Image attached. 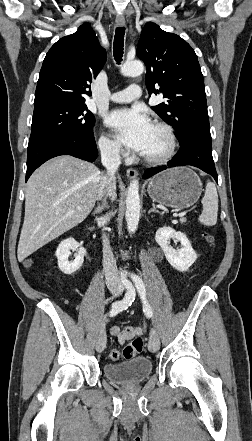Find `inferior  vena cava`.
<instances>
[{"mask_svg": "<svg viewBox=\"0 0 252 441\" xmlns=\"http://www.w3.org/2000/svg\"><path fill=\"white\" fill-rule=\"evenodd\" d=\"M100 151L101 162L106 168V174L103 177L101 189L98 192V200H101L103 197L108 196L113 201L116 198V195L113 191L115 183V173L121 163L119 148L110 145H103L100 147ZM110 218V213L106 214L103 217H100L102 225L107 224ZM102 239L103 270L105 274L106 285L111 291L121 292L123 290V286L118 276L116 261L110 249L109 239L105 234H103Z\"/></svg>", "mask_w": 252, "mask_h": 441, "instance_id": "inferior-vena-cava-1", "label": "inferior vena cava"}]
</instances>
